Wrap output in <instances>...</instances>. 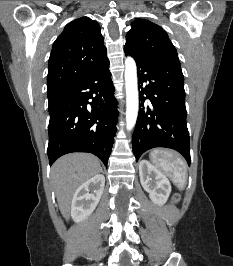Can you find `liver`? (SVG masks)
<instances>
[{"mask_svg": "<svg viewBox=\"0 0 233 266\" xmlns=\"http://www.w3.org/2000/svg\"><path fill=\"white\" fill-rule=\"evenodd\" d=\"M102 171L99 159L88 153H71L59 158L51 168L61 214L69 218L70 204L77 188Z\"/></svg>", "mask_w": 233, "mask_h": 266, "instance_id": "1", "label": "liver"}]
</instances>
